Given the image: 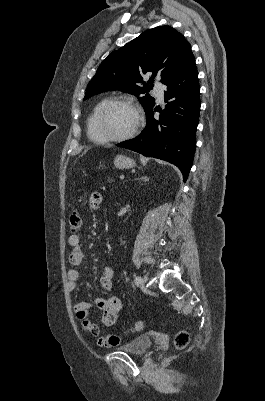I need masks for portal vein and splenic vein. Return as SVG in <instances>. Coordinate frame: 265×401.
<instances>
[{
	"mask_svg": "<svg viewBox=\"0 0 265 401\" xmlns=\"http://www.w3.org/2000/svg\"><path fill=\"white\" fill-rule=\"evenodd\" d=\"M118 180H119V181H123V180H124V175H123V174H120L119 177H118Z\"/></svg>",
	"mask_w": 265,
	"mask_h": 401,
	"instance_id": "portal-vein-and-splenic-vein-1",
	"label": "portal vein and splenic vein"
}]
</instances>
